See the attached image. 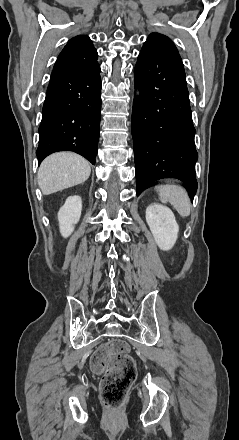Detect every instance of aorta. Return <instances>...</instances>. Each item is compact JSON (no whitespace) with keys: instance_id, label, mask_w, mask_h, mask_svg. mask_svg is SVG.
I'll list each match as a JSON object with an SVG mask.
<instances>
[{"instance_id":"obj_1","label":"aorta","mask_w":239,"mask_h":440,"mask_svg":"<svg viewBox=\"0 0 239 440\" xmlns=\"http://www.w3.org/2000/svg\"><path fill=\"white\" fill-rule=\"evenodd\" d=\"M137 94H138V96H139L140 92H137Z\"/></svg>"}]
</instances>
